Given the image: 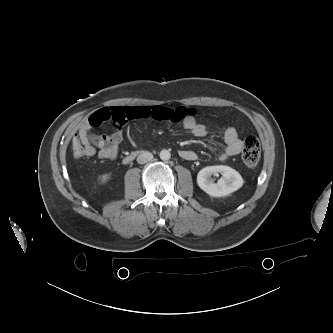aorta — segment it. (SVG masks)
<instances>
[{"label":"aorta","instance_id":"762f6f07","mask_svg":"<svg viewBox=\"0 0 333 333\" xmlns=\"http://www.w3.org/2000/svg\"><path fill=\"white\" fill-rule=\"evenodd\" d=\"M159 156H160L161 160L165 161V160H169L170 159L171 154H170V152L168 150L163 149V150H161Z\"/></svg>","mask_w":333,"mask_h":333}]
</instances>
